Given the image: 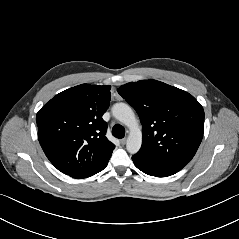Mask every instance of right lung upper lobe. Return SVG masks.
<instances>
[{
  "label": "right lung upper lobe",
  "instance_id": "1",
  "mask_svg": "<svg viewBox=\"0 0 239 239\" xmlns=\"http://www.w3.org/2000/svg\"><path fill=\"white\" fill-rule=\"evenodd\" d=\"M111 86L81 84L67 89L37 113L38 139L50 162L73 178H87L108 164L115 145L102 119Z\"/></svg>",
  "mask_w": 239,
  "mask_h": 239
}]
</instances>
